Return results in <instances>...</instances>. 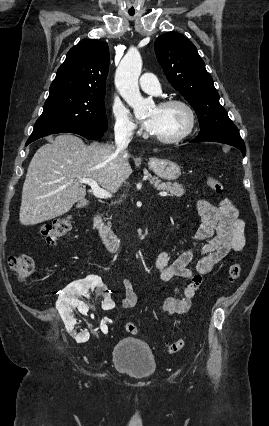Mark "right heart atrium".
Listing matches in <instances>:
<instances>
[{"label": "right heart atrium", "instance_id": "d8ad5b80", "mask_svg": "<svg viewBox=\"0 0 269 426\" xmlns=\"http://www.w3.org/2000/svg\"><path fill=\"white\" fill-rule=\"evenodd\" d=\"M112 116L114 130L117 136L122 138H132L140 133L137 124L129 116L127 110L120 104H113Z\"/></svg>", "mask_w": 269, "mask_h": 426}]
</instances>
